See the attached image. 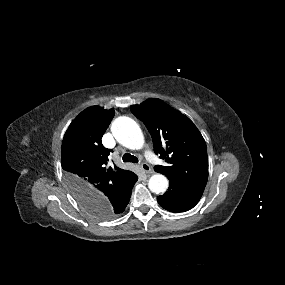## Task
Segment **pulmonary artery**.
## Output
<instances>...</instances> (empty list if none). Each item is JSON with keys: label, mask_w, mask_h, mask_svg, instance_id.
Segmentation results:
<instances>
[{"label": "pulmonary artery", "mask_w": 285, "mask_h": 285, "mask_svg": "<svg viewBox=\"0 0 285 285\" xmlns=\"http://www.w3.org/2000/svg\"><path fill=\"white\" fill-rule=\"evenodd\" d=\"M146 156L148 159H150L153 163L157 162V157L156 155L148 148L146 151Z\"/></svg>", "instance_id": "e3ab8cb5"}]
</instances>
